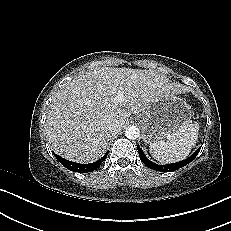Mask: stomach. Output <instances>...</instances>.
<instances>
[{"instance_id": "1", "label": "stomach", "mask_w": 231, "mask_h": 231, "mask_svg": "<svg viewBox=\"0 0 231 231\" xmlns=\"http://www.w3.org/2000/svg\"><path fill=\"white\" fill-rule=\"evenodd\" d=\"M191 113L186 101L173 93L158 97L142 116L144 141L151 144L167 138L191 122Z\"/></svg>"}]
</instances>
